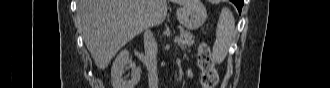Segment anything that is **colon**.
<instances>
[{"instance_id": "1", "label": "colon", "mask_w": 330, "mask_h": 88, "mask_svg": "<svg viewBox=\"0 0 330 88\" xmlns=\"http://www.w3.org/2000/svg\"><path fill=\"white\" fill-rule=\"evenodd\" d=\"M198 66L201 71L200 82L203 88H214L218 81V74L211 57L210 49L204 43L198 48Z\"/></svg>"}]
</instances>
